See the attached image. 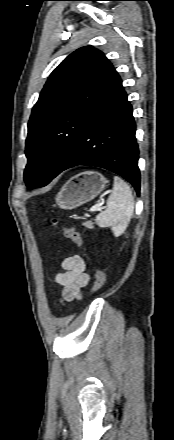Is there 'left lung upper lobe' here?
<instances>
[{
    "label": "left lung upper lobe",
    "instance_id": "left-lung-upper-lobe-1",
    "mask_svg": "<svg viewBox=\"0 0 174 440\" xmlns=\"http://www.w3.org/2000/svg\"><path fill=\"white\" fill-rule=\"evenodd\" d=\"M116 70L92 46L67 56L51 73L28 123L24 180L47 185L74 153L90 111L108 90Z\"/></svg>",
    "mask_w": 174,
    "mask_h": 440
}]
</instances>
